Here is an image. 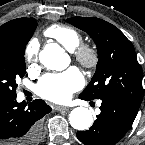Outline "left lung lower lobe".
Here are the masks:
<instances>
[{
    "instance_id": "1",
    "label": "left lung lower lobe",
    "mask_w": 145,
    "mask_h": 145,
    "mask_svg": "<svg viewBox=\"0 0 145 145\" xmlns=\"http://www.w3.org/2000/svg\"><path fill=\"white\" fill-rule=\"evenodd\" d=\"M139 107L122 99L102 100L97 120L89 130L77 132L78 139L85 145H115L131 127Z\"/></svg>"
}]
</instances>
